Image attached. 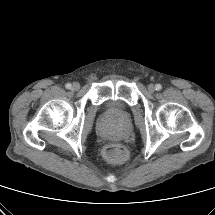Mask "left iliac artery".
<instances>
[{
	"label": "left iliac artery",
	"mask_w": 215,
	"mask_h": 215,
	"mask_svg": "<svg viewBox=\"0 0 215 215\" xmlns=\"http://www.w3.org/2000/svg\"><path fill=\"white\" fill-rule=\"evenodd\" d=\"M155 88H156V90H161L162 89V86H161V84H156V86H155Z\"/></svg>",
	"instance_id": "left-iliac-artery-1"
}]
</instances>
